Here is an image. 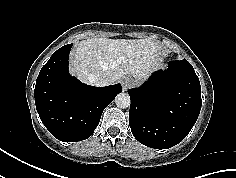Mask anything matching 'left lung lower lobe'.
<instances>
[{
    "instance_id": "0a47b994",
    "label": "left lung lower lobe",
    "mask_w": 236,
    "mask_h": 178,
    "mask_svg": "<svg viewBox=\"0 0 236 178\" xmlns=\"http://www.w3.org/2000/svg\"><path fill=\"white\" fill-rule=\"evenodd\" d=\"M129 125L143 145L167 149L181 142L194 126L202 105L201 86L185 59L171 61L140 88L130 89Z\"/></svg>"
}]
</instances>
